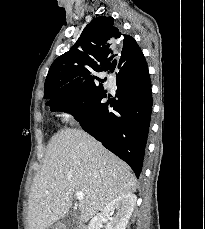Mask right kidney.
I'll list each match as a JSON object with an SVG mask.
<instances>
[{"label":"right kidney","mask_w":205,"mask_h":229,"mask_svg":"<svg viewBox=\"0 0 205 229\" xmlns=\"http://www.w3.org/2000/svg\"><path fill=\"white\" fill-rule=\"evenodd\" d=\"M134 194H125L108 203L101 214L95 216L89 223L88 229H100L102 222H107L106 229H126L128 221L136 205ZM116 210V214L114 211Z\"/></svg>","instance_id":"ca27d5eb"}]
</instances>
